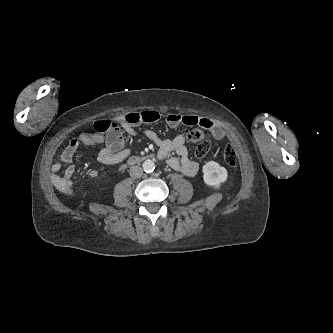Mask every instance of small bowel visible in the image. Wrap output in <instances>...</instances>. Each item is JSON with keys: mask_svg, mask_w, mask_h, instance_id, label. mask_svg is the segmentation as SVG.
<instances>
[{"mask_svg": "<svg viewBox=\"0 0 333 333\" xmlns=\"http://www.w3.org/2000/svg\"><path fill=\"white\" fill-rule=\"evenodd\" d=\"M160 118V114L154 110H145L141 112H130L118 119V128L116 131L101 133H81L73 138L67 147L62 151L60 158L51 166L50 179L53 185L61 192L70 194L75 182L73 174L75 166L72 159L75 152L81 145H96L105 143V147L99 152L98 160L102 164L115 165L123 162L130 155V151L124 148V140L121 130L135 135L137 128L142 123H153ZM169 126L176 127L179 125L194 126L198 125L208 130L215 140H221L225 133L221 126L215 124L206 117L185 114H169L166 118ZM145 135L158 147V157L165 160L174 170L180 171L187 176H195L200 169L197 162L190 159L186 147L184 134H179L173 139H162L155 132L146 130ZM174 152L177 157H170ZM63 166H66L62 175L59 174ZM90 177H97L96 170L89 172Z\"/></svg>", "mask_w": 333, "mask_h": 333, "instance_id": "c3829d8e", "label": "small bowel"}]
</instances>
